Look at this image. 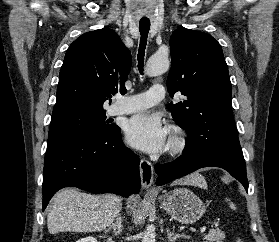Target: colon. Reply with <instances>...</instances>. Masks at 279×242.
<instances>
[{"mask_svg":"<svg viewBox=\"0 0 279 242\" xmlns=\"http://www.w3.org/2000/svg\"><path fill=\"white\" fill-rule=\"evenodd\" d=\"M234 242H244L242 239H240V238H236L235 240H234Z\"/></svg>","mask_w":279,"mask_h":242,"instance_id":"1","label":"colon"}]
</instances>
